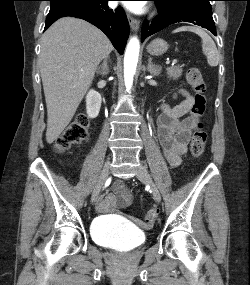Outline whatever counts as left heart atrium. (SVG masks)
<instances>
[{"mask_svg": "<svg viewBox=\"0 0 250 285\" xmlns=\"http://www.w3.org/2000/svg\"><path fill=\"white\" fill-rule=\"evenodd\" d=\"M121 5L133 13H141L145 8V4L142 1H126Z\"/></svg>", "mask_w": 250, "mask_h": 285, "instance_id": "1", "label": "left heart atrium"}]
</instances>
